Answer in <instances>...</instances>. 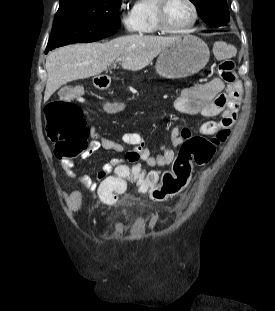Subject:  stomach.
<instances>
[{"instance_id":"stomach-1","label":"stomach","mask_w":275,"mask_h":311,"mask_svg":"<svg viewBox=\"0 0 275 311\" xmlns=\"http://www.w3.org/2000/svg\"><path fill=\"white\" fill-rule=\"evenodd\" d=\"M209 48L193 35L178 37L158 56L156 72L163 78L178 79L202 70L209 61Z\"/></svg>"}]
</instances>
